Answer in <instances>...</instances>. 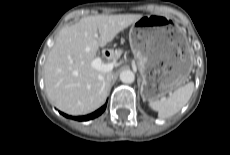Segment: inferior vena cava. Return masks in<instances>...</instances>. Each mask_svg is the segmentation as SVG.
Returning <instances> with one entry per match:
<instances>
[{
  "instance_id": "602c4592",
  "label": "inferior vena cava",
  "mask_w": 230,
  "mask_h": 155,
  "mask_svg": "<svg viewBox=\"0 0 230 155\" xmlns=\"http://www.w3.org/2000/svg\"><path fill=\"white\" fill-rule=\"evenodd\" d=\"M106 79L110 82L111 79H112V74H111V73H108V74L106 75Z\"/></svg>"
}]
</instances>
